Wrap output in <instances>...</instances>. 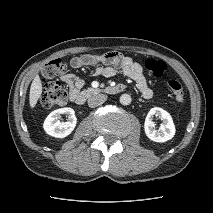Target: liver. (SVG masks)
Returning a JSON list of instances; mask_svg holds the SVG:
<instances>
[{"instance_id": "1", "label": "liver", "mask_w": 213, "mask_h": 213, "mask_svg": "<svg viewBox=\"0 0 213 213\" xmlns=\"http://www.w3.org/2000/svg\"><path fill=\"white\" fill-rule=\"evenodd\" d=\"M41 94H42V82L40 80L39 75H36L31 83L29 93V104L31 108L35 107Z\"/></svg>"}]
</instances>
